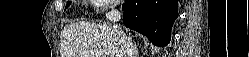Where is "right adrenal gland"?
<instances>
[{
  "instance_id": "right-adrenal-gland-1",
  "label": "right adrenal gland",
  "mask_w": 249,
  "mask_h": 57,
  "mask_svg": "<svg viewBox=\"0 0 249 57\" xmlns=\"http://www.w3.org/2000/svg\"><path fill=\"white\" fill-rule=\"evenodd\" d=\"M135 49H136L135 51H136V55H137V54H138V49H137V47H136V46H135Z\"/></svg>"
}]
</instances>
